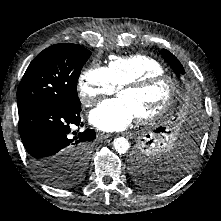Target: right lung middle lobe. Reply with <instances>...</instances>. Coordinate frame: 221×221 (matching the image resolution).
<instances>
[{"instance_id":"obj_1","label":"right lung middle lobe","mask_w":221,"mask_h":221,"mask_svg":"<svg viewBox=\"0 0 221 221\" xmlns=\"http://www.w3.org/2000/svg\"><path fill=\"white\" fill-rule=\"evenodd\" d=\"M91 52L78 44H56L39 53L28 66L17 90L18 109L48 102L70 108L81 107L77 81ZM91 142L71 149L62 164L38 175L55 187H70L85 173Z\"/></svg>"}]
</instances>
